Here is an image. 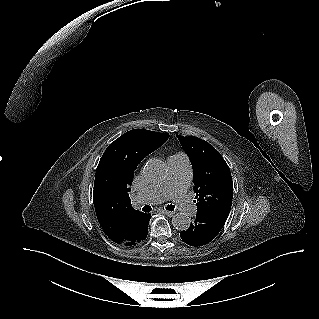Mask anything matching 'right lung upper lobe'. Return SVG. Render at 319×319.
Returning a JSON list of instances; mask_svg holds the SVG:
<instances>
[{
	"label": "right lung upper lobe",
	"instance_id": "1",
	"mask_svg": "<svg viewBox=\"0 0 319 319\" xmlns=\"http://www.w3.org/2000/svg\"><path fill=\"white\" fill-rule=\"evenodd\" d=\"M168 138V133L130 130L112 142L100 159L99 166L105 160H114L123 166V175L116 190L103 195H93L98 222L114 242L119 241L134 218L142 214L132 207L128 194L134 170L143 158L163 145Z\"/></svg>",
	"mask_w": 319,
	"mask_h": 319
}]
</instances>
